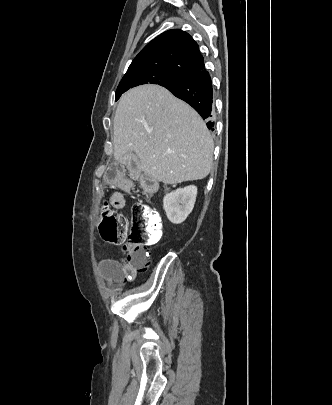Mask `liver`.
Listing matches in <instances>:
<instances>
[{"label": "liver", "mask_w": 332, "mask_h": 405, "mask_svg": "<svg viewBox=\"0 0 332 405\" xmlns=\"http://www.w3.org/2000/svg\"><path fill=\"white\" fill-rule=\"evenodd\" d=\"M114 158L134 152L141 170L164 184L201 180L211 171L213 139L199 114L157 85L122 95L114 118ZM133 154V153H132Z\"/></svg>", "instance_id": "6515ba94"}]
</instances>
